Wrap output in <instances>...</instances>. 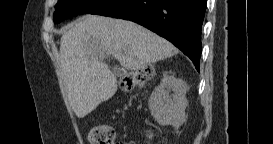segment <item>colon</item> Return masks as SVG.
<instances>
[{
  "instance_id": "obj_1",
  "label": "colon",
  "mask_w": 273,
  "mask_h": 144,
  "mask_svg": "<svg viewBox=\"0 0 273 144\" xmlns=\"http://www.w3.org/2000/svg\"><path fill=\"white\" fill-rule=\"evenodd\" d=\"M154 74L151 67L139 69L121 79V87L125 91H131L136 87L144 85ZM115 132L111 126L95 125L89 129L88 141L91 144H113Z\"/></svg>"
}]
</instances>
